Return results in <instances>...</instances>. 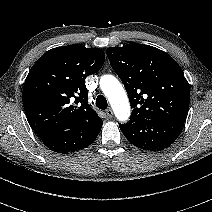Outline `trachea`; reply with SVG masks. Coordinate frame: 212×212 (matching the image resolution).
<instances>
[{
  "instance_id": "3493384b",
  "label": "trachea",
  "mask_w": 212,
  "mask_h": 212,
  "mask_svg": "<svg viewBox=\"0 0 212 212\" xmlns=\"http://www.w3.org/2000/svg\"><path fill=\"white\" fill-rule=\"evenodd\" d=\"M96 106L99 109L105 110L108 106L107 100L103 95H98L96 98Z\"/></svg>"
}]
</instances>
